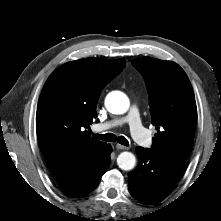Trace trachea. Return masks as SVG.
Masks as SVG:
<instances>
[{"label":"trachea","instance_id":"3493384b","mask_svg":"<svg viewBox=\"0 0 221 221\" xmlns=\"http://www.w3.org/2000/svg\"><path fill=\"white\" fill-rule=\"evenodd\" d=\"M96 137L103 140V141H107V142L117 141L121 145L129 146V142L124 136L116 137V135H114L112 133H106L104 135H96Z\"/></svg>","mask_w":221,"mask_h":221}]
</instances>
